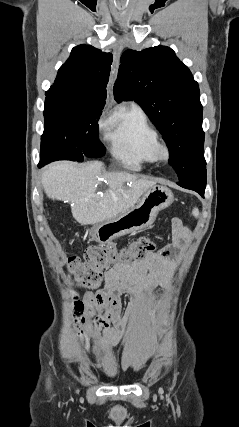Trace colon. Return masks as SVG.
<instances>
[{"mask_svg":"<svg viewBox=\"0 0 239 427\" xmlns=\"http://www.w3.org/2000/svg\"><path fill=\"white\" fill-rule=\"evenodd\" d=\"M155 245L148 236L131 241L126 247L118 248L115 244L93 246L86 250L84 260L72 255L68 258L69 273L80 279L89 288H97L101 283L102 273L114 264L130 263L141 259L154 251ZM76 325L84 322L80 319L84 305L77 301L74 307Z\"/></svg>","mask_w":239,"mask_h":427,"instance_id":"1","label":"colon"}]
</instances>
